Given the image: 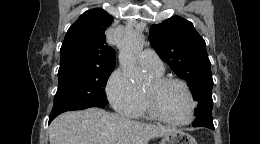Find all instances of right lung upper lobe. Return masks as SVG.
Instances as JSON below:
<instances>
[{"label": "right lung upper lobe", "mask_w": 260, "mask_h": 144, "mask_svg": "<svg viewBox=\"0 0 260 144\" xmlns=\"http://www.w3.org/2000/svg\"><path fill=\"white\" fill-rule=\"evenodd\" d=\"M112 21V16L100 8L84 12L64 38L59 70L114 68L115 51L107 46L105 36Z\"/></svg>", "instance_id": "right-lung-upper-lobe-1"}]
</instances>
